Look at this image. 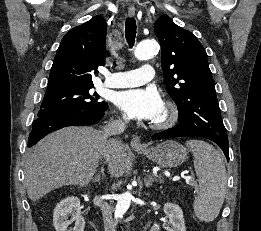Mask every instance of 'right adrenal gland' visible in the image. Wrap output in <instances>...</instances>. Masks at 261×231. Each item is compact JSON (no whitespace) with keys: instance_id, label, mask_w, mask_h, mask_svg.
Returning a JSON list of instances; mask_svg holds the SVG:
<instances>
[{"instance_id":"2a0ac1e0","label":"right adrenal gland","mask_w":261,"mask_h":231,"mask_svg":"<svg viewBox=\"0 0 261 231\" xmlns=\"http://www.w3.org/2000/svg\"><path fill=\"white\" fill-rule=\"evenodd\" d=\"M104 176H105L104 167L102 166L100 170V174H96L92 180L93 182H97L98 184H100Z\"/></svg>"}]
</instances>
